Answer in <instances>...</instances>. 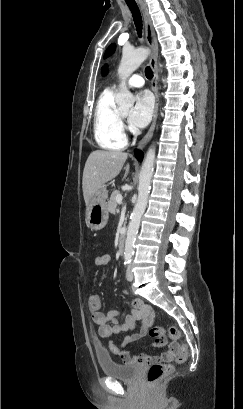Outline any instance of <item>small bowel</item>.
I'll use <instances>...</instances> for the list:
<instances>
[{"mask_svg":"<svg viewBox=\"0 0 243 409\" xmlns=\"http://www.w3.org/2000/svg\"><path fill=\"white\" fill-rule=\"evenodd\" d=\"M110 261L111 257L107 253L100 254L96 259L98 265H107ZM123 292L124 294H129L128 290ZM121 315L122 311L119 309H111L107 313L91 310V319L97 325L101 337L110 338L121 332H130L119 340V345L113 341L109 343L108 349L111 353L117 355L123 362L129 365L155 361L169 362L176 358L177 348L175 346H171L168 351L155 356L147 354L134 355L125 350L131 343L149 335L150 327L154 320V308L151 305L140 298H136L131 303L130 312L124 317H121ZM138 323L139 327L135 330ZM166 344V338L162 341L155 340L153 342V346L157 348L163 347Z\"/></svg>","mask_w":243,"mask_h":409,"instance_id":"c3829d8e","label":"small bowel"}]
</instances>
